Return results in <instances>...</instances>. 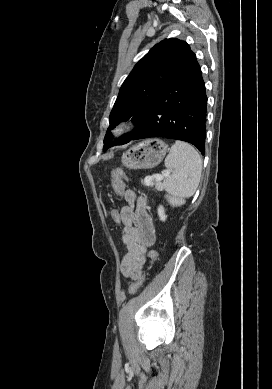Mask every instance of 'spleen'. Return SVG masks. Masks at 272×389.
Listing matches in <instances>:
<instances>
[{"mask_svg":"<svg viewBox=\"0 0 272 389\" xmlns=\"http://www.w3.org/2000/svg\"><path fill=\"white\" fill-rule=\"evenodd\" d=\"M165 166L171 172L163 182V187L168 193L167 200L172 206H181L198 187L202 159L191 145L176 141L165 159Z\"/></svg>","mask_w":272,"mask_h":389,"instance_id":"spleen-1","label":"spleen"}]
</instances>
